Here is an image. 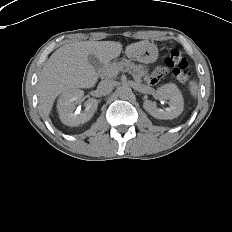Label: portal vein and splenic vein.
<instances>
[{"mask_svg":"<svg viewBox=\"0 0 232 232\" xmlns=\"http://www.w3.org/2000/svg\"><path fill=\"white\" fill-rule=\"evenodd\" d=\"M132 76H133V78H134L135 80L140 81L139 78H138L136 75L132 74Z\"/></svg>","mask_w":232,"mask_h":232,"instance_id":"portal-vein-and-splenic-vein-1","label":"portal vein and splenic vein"}]
</instances>
